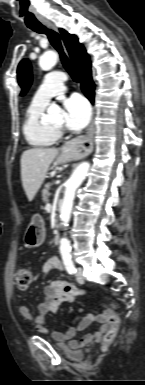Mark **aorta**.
Here are the masks:
<instances>
[{
  "label": "aorta",
  "instance_id": "aorta-1",
  "mask_svg": "<svg viewBox=\"0 0 145 385\" xmlns=\"http://www.w3.org/2000/svg\"><path fill=\"white\" fill-rule=\"evenodd\" d=\"M58 57L57 54L53 51L45 52L39 59V66L41 69L48 71L57 63ZM60 109L57 106H51L48 109L49 114L59 112ZM90 168L88 162L81 163L73 172L72 176L66 182L65 193L63 197V202L60 208V217L64 227H68V223L71 218V211L73 207V202L75 198V192L77 188L82 184ZM70 242L66 237H63L60 240V250L69 251Z\"/></svg>",
  "mask_w": 145,
  "mask_h": 385
}]
</instances>
